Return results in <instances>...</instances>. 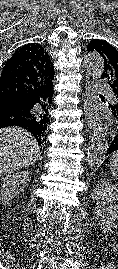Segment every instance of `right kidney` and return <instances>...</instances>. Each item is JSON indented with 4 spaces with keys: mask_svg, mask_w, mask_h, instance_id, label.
<instances>
[{
    "mask_svg": "<svg viewBox=\"0 0 118 269\" xmlns=\"http://www.w3.org/2000/svg\"><path fill=\"white\" fill-rule=\"evenodd\" d=\"M30 178L31 173L29 171L18 172L3 178L0 185V194L4 202L8 203L10 199L23 192Z\"/></svg>",
    "mask_w": 118,
    "mask_h": 269,
    "instance_id": "right-kidney-1",
    "label": "right kidney"
}]
</instances>
